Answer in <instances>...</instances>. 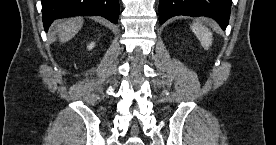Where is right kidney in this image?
I'll return each mask as SVG.
<instances>
[{"mask_svg": "<svg viewBox=\"0 0 276 145\" xmlns=\"http://www.w3.org/2000/svg\"><path fill=\"white\" fill-rule=\"evenodd\" d=\"M93 47H94V43H91V44L88 46V49L91 50Z\"/></svg>", "mask_w": 276, "mask_h": 145, "instance_id": "right-kidney-1", "label": "right kidney"}]
</instances>
